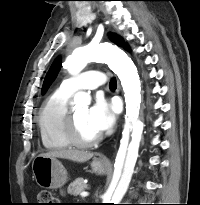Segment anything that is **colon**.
Here are the masks:
<instances>
[{
  "mask_svg": "<svg viewBox=\"0 0 200 205\" xmlns=\"http://www.w3.org/2000/svg\"><path fill=\"white\" fill-rule=\"evenodd\" d=\"M37 205H55L54 197L51 192L42 190L38 193V204Z\"/></svg>",
  "mask_w": 200,
  "mask_h": 205,
  "instance_id": "5ec220e1",
  "label": "colon"
}]
</instances>
